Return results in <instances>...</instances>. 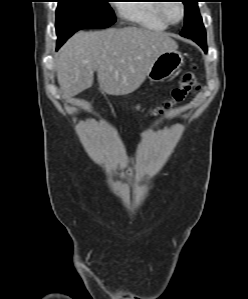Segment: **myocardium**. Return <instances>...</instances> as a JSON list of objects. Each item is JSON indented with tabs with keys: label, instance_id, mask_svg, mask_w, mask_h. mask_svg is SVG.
<instances>
[{
	"label": "myocardium",
	"instance_id": "myocardium-1",
	"mask_svg": "<svg viewBox=\"0 0 248 299\" xmlns=\"http://www.w3.org/2000/svg\"><path fill=\"white\" fill-rule=\"evenodd\" d=\"M179 4L181 9V17L177 21H172L166 14L165 8L168 3H160L158 6V14L160 18L167 24V25H177L181 23L185 18V5L182 1H176Z\"/></svg>",
	"mask_w": 248,
	"mask_h": 299
}]
</instances>
